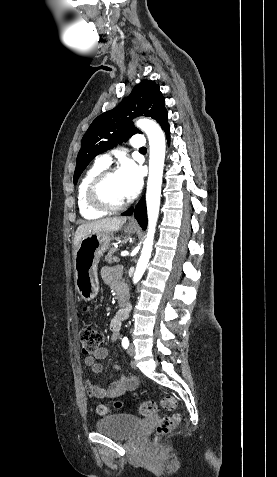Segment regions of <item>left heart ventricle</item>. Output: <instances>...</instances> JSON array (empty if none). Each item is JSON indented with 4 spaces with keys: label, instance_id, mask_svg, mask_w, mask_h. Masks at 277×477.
Instances as JSON below:
<instances>
[{
    "label": "left heart ventricle",
    "instance_id": "left-heart-ventricle-1",
    "mask_svg": "<svg viewBox=\"0 0 277 477\" xmlns=\"http://www.w3.org/2000/svg\"><path fill=\"white\" fill-rule=\"evenodd\" d=\"M102 195L108 202L113 204H118L126 200L117 173L113 174L105 181L102 187Z\"/></svg>",
    "mask_w": 277,
    "mask_h": 477
}]
</instances>
